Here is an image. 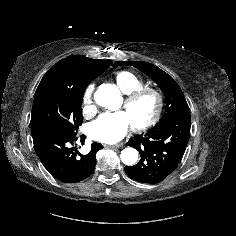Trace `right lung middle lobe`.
Listing matches in <instances>:
<instances>
[{
	"instance_id": "dd1d6c3e",
	"label": "right lung middle lobe",
	"mask_w": 236,
	"mask_h": 236,
	"mask_svg": "<svg viewBox=\"0 0 236 236\" xmlns=\"http://www.w3.org/2000/svg\"><path fill=\"white\" fill-rule=\"evenodd\" d=\"M90 82L74 88L51 86L34 97L31 128H47L75 136L82 123L83 94Z\"/></svg>"
}]
</instances>
